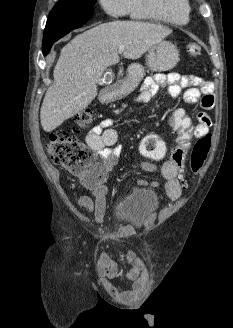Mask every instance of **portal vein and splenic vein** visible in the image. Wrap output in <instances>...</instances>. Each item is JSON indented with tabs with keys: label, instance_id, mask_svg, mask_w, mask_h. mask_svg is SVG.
<instances>
[{
	"label": "portal vein and splenic vein",
	"instance_id": "portal-vein-and-splenic-vein-1",
	"mask_svg": "<svg viewBox=\"0 0 233 328\" xmlns=\"http://www.w3.org/2000/svg\"><path fill=\"white\" fill-rule=\"evenodd\" d=\"M125 50V46L120 45L119 46V53H122Z\"/></svg>",
	"mask_w": 233,
	"mask_h": 328
}]
</instances>
